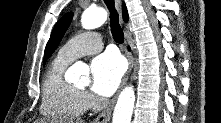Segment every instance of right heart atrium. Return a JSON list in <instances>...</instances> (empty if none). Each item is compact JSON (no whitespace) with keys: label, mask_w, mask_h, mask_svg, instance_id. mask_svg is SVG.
I'll use <instances>...</instances> for the list:
<instances>
[{"label":"right heart atrium","mask_w":221,"mask_h":123,"mask_svg":"<svg viewBox=\"0 0 221 123\" xmlns=\"http://www.w3.org/2000/svg\"><path fill=\"white\" fill-rule=\"evenodd\" d=\"M84 98H85L87 107L93 105V103H94V98H93L91 95H89V94H84Z\"/></svg>","instance_id":"obj_1"}]
</instances>
